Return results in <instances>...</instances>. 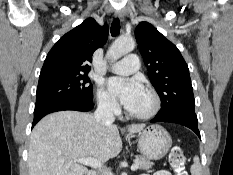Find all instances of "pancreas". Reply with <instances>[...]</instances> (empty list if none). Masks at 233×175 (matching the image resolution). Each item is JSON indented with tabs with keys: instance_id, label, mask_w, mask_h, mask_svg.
<instances>
[{
	"instance_id": "1",
	"label": "pancreas",
	"mask_w": 233,
	"mask_h": 175,
	"mask_svg": "<svg viewBox=\"0 0 233 175\" xmlns=\"http://www.w3.org/2000/svg\"><path fill=\"white\" fill-rule=\"evenodd\" d=\"M135 158V160L139 163V168L142 170H149L154 165L150 159L144 156L137 155Z\"/></svg>"
}]
</instances>
